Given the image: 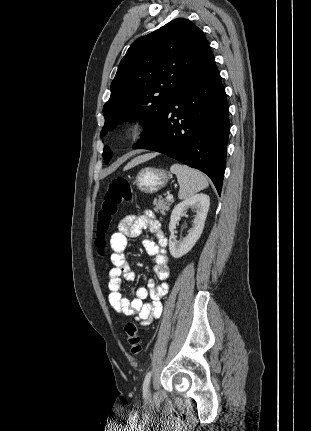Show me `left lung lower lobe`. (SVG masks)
Here are the masks:
<instances>
[{
	"label": "left lung lower lobe",
	"instance_id": "obj_1",
	"mask_svg": "<svg viewBox=\"0 0 311 431\" xmlns=\"http://www.w3.org/2000/svg\"><path fill=\"white\" fill-rule=\"evenodd\" d=\"M229 130L225 89L210 49L180 87L158 129L137 148L201 170L220 195Z\"/></svg>",
	"mask_w": 311,
	"mask_h": 431
}]
</instances>
